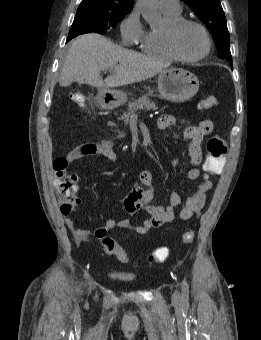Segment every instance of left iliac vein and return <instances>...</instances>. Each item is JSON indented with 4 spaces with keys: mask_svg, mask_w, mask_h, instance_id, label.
Here are the masks:
<instances>
[{
    "mask_svg": "<svg viewBox=\"0 0 261 340\" xmlns=\"http://www.w3.org/2000/svg\"><path fill=\"white\" fill-rule=\"evenodd\" d=\"M172 300L175 303H178L180 301V293L178 291H175L172 295Z\"/></svg>",
    "mask_w": 261,
    "mask_h": 340,
    "instance_id": "obj_1",
    "label": "left iliac vein"
}]
</instances>
